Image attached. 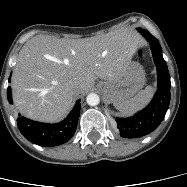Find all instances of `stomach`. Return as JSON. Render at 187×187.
Returning <instances> with one entry per match:
<instances>
[{"label":"stomach","mask_w":187,"mask_h":187,"mask_svg":"<svg viewBox=\"0 0 187 187\" xmlns=\"http://www.w3.org/2000/svg\"><path fill=\"white\" fill-rule=\"evenodd\" d=\"M145 83L143 67L135 61L130 62L124 75L116 81H101L97 88L109 103L123 102L133 97Z\"/></svg>","instance_id":"0dacf381"}]
</instances>
